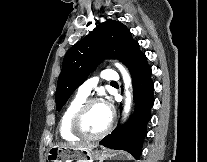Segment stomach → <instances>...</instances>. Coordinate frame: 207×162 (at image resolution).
<instances>
[{"label": "stomach", "instance_id": "stomach-1", "mask_svg": "<svg viewBox=\"0 0 207 162\" xmlns=\"http://www.w3.org/2000/svg\"><path fill=\"white\" fill-rule=\"evenodd\" d=\"M112 157L124 159L125 155L121 153H111L105 149L80 150L61 146L51 147L47 154L48 162H74L75 160H77V162H92L93 160H100V162H102Z\"/></svg>", "mask_w": 207, "mask_h": 162}]
</instances>
